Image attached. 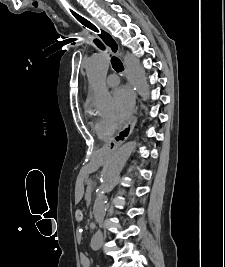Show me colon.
Here are the masks:
<instances>
[{"label": "colon", "instance_id": "1", "mask_svg": "<svg viewBox=\"0 0 225 267\" xmlns=\"http://www.w3.org/2000/svg\"><path fill=\"white\" fill-rule=\"evenodd\" d=\"M83 218V214H82V211L81 210H76L75 211V219L80 222Z\"/></svg>", "mask_w": 225, "mask_h": 267}]
</instances>
